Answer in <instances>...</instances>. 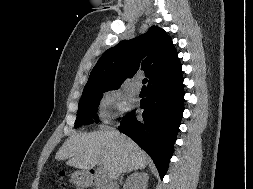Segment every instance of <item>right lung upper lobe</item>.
Listing matches in <instances>:
<instances>
[{"instance_id": "1", "label": "right lung upper lobe", "mask_w": 253, "mask_h": 189, "mask_svg": "<svg viewBox=\"0 0 253 189\" xmlns=\"http://www.w3.org/2000/svg\"><path fill=\"white\" fill-rule=\"evenodd\" d=\"M138 70L145 71L148 86L182 73L178 53L162 28L152 26L145 34L106 50L91 71L83 91L119 87Z\"/></svg>"}]
</instances>
